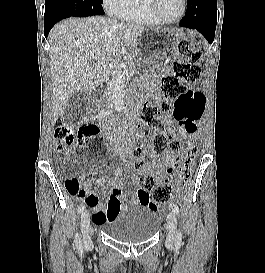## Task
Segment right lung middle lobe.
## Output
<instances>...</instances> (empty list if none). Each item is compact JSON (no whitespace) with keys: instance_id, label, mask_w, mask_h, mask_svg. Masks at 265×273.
Wrapping results in <instances>:
<instances>
[{"instance_id":"1","label":"right lung middle lobe","mask_w":265,"mask_h":273,"mask_svg":"<svg viewBox=\"0 0 265 273\" xmlns=\"http://www.w3.org/2000/svg\"><path fill=\"white\" fill-rule=\"evenodd\" d=\"M102 3L103 0H45L44 19L103 15L105 12Z\"/></svg>"}]
</instances>
